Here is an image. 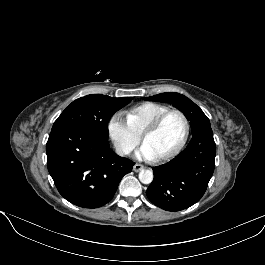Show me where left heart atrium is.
<instances>
[{
    "label": "left heart atrium",
    "instance_id": "left-heart-atrium-1",
    "mask_svg": "<svg viewBox=\"0 0 265 265\" xmlns=\"http://www.w3.org/2000/svg\"><path fill=\"white\" fill-rule=\"evenodd\" d=\"M137 156H141L145 158H153L152 153L144 144L138 149Z\"/></svg>",
    "mask_w": 265,
    "mask_h": 265
}]
</instances>
